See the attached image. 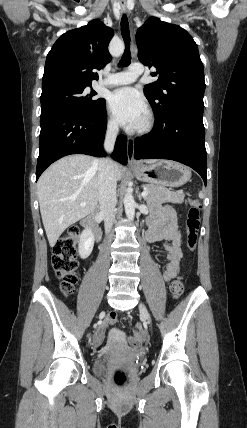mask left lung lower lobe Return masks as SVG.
<instances>
[{
  "mask_svg": "<svg viewBox=\"0 0 247 428\" xmlns=\"http://www.w3.org/2000/svg\"><path fill=\"white\" fill-rule=\"evenodd\" d=\"M156 118L150 135L136 139L135 159H170L193 168L207 183L203 109L185 104L174 106Z\"/></svg>",
  "mask_w": 247,
  "mask_h": 428,
  "instance_id": "left-lung-lower-lobe-1",
  "label": "left lung lower lobe"
}]
</instances>
